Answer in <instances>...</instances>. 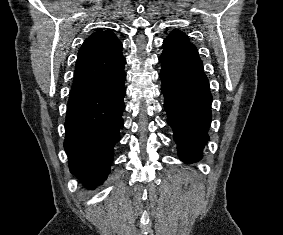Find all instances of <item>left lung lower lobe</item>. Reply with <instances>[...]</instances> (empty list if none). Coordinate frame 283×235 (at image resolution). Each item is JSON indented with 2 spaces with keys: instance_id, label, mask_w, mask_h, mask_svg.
<instances>
[{
  "instance_id": "left-lung-lower-lobe-1",
  "label": "left lung lower lobe",
  "mask_w": 283,
  "mask_h": 235,
  "mask_svg": "<svg viewBox=\"0 0 283 235\" xmlns=\"http://www.w3.org/2000/svg\"><path fill=\"white\" fill-rule=\"evenodd\" d=\"M167 123L174 130L178 153L185 162L202 157L211 122L209 82L203 70L162 63L160 72Z\"/></svg>"
}]
</instances>
